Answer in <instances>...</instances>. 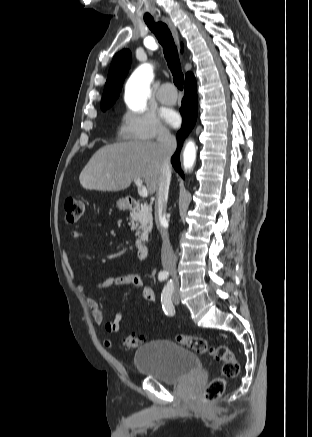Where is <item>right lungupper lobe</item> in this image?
<instances>
[{
	"label": "right lung upper lobe",
	"instance_id": "1",
	"mask_svg": "<svg viewBox=\"0 0 312 437\" xmlns=\"http://www.w3.org/2000/svg\"><path fill=\"white\" fill-rule=\"evenodd\" d=\"M131 64V52L128 49H124L117 53L110 65L107 81L103 91L101 100V109L106 110L109 108L118 98L122 88L124 78L128 73V69ZM192 74L188 72L186 77Z\"/></svg>",
	"mask_w": 312,
	"mask_h": 437
}]
</instances>
